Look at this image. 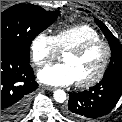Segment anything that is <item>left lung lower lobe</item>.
<instances>
[{
    "label": "left lung lower lobe",
    "mask_w": 122,
    "mask_h": 122,
    "mask_svg": "<svg viewBox=\"0 0 122 122\" xmlns=\"http://www.w3.org/2000/svg\"><path fill=\"white\" fill-rule=\"evenodd\" d=\"M122 95V73L103 79L89 90L69 93L63 114L76 122H86L107 115Z\"/></svg>",
    "instance_id": "obj_1"
}]
</instances>
